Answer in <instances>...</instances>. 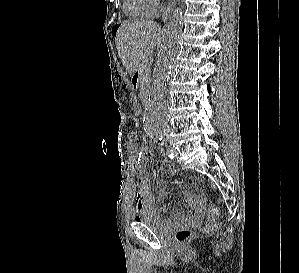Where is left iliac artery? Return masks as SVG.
<instances>
[{"instance_id": "44dca946", "label": "left iliac artery", "mask_w": 299, "mask_h": 273, "mask_svg": "<svg viewBox=\"0 0 299 273\" xmlns=\"http://www.w3.org/2000/svg\"><path fill=\"white\" fill-rule=\"evenodd\" d=\"M165 143V141L163 140L160 144L163 145ZM167 154L168 156L173 159L175 157L174 153L172 152V150H167Z\"/></svg>"}]
</instances>
